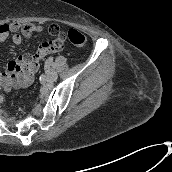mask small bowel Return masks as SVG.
<instances>
[{
    "instance_id": "small-bowel-1",
    "label": "small bowel",
    "mask_w": 172,
    "mask_h": 172,
    "mask_svg": "<svg viewBox=\"0 0 172 172\" xmlns=\"http://www.w3.org/2000/svg\"><path fill=\"white\" fill-rule=\"evenodd\" d=\"M29 28V33H24V28ZM59 29L55 24L50 25ZM48 27V28H49ZM40 30L35 25L11 23L0 25V43H4L8 40L10 34H12V42L16 45H20L23 42V36H30L32 33ZM64 49V42L61 38L54 39L50 42H44L38 46L37 51L34 54H25L20 56L16 62H12L10 70L15 73L14 76L17 80V85L24 87L27 86L33 79L35 72L37 71L40 61L48 54L57 53ZM0 74V81L2 80Z\"/></svg>"
}]
</instances>
